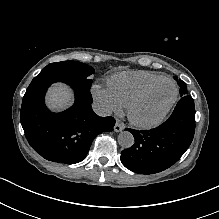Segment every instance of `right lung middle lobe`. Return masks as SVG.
Masks as SVG:
<instances>
[{
  "instance_id": "dd1d6c3e",
  "label": "right lung middle lobe",
  "mask_w": 219,
  "mask_h": 219,
  "mask_svg": "<svg viewBox=\"0 0 219 219\" xmlns=\"http://www.w3.org/2000/svg\"><path fill=\"white\" fill-rule=\"evenodd\" d=\"M93 73L94 69L87 64L78 61H62L47 65L39 76L53 75L76 79L84 87L90 89L92 80L89 76Z\"/></svg>"
}]
</instances>
